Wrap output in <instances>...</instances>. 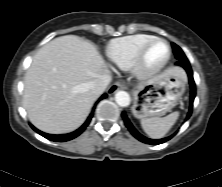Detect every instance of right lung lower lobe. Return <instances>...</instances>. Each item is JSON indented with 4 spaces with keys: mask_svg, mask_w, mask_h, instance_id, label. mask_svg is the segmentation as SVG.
<instances>
[{
    "mask_svg": "<svg viewBox=\"0 0 222 187\" xmlns=\"http://www.w3.org/2000/svg\"><path fill=\"white\" fill-rule=\"evenodd\" d=\"M107 97V94H103L99 100L96 102V104ZM94 109L95 107L93 108L92 110V113L89 115L88 119L86 120V122L79 128L77 129L76 131L72 132V133H69V134H63V135H52V134H47V133H44V132H41L39 131L38 129H36L33 125H31V127L37 132L39 133L40 135H42L43 137L51 140V141H56V142H64V141H68V140H71V139H74L75 137H77L78 135H80L84 130L85 128L88 126V124L90 123L91 121V118L93 117V112H94Z\"/></svg>",
    "mask_w": 222,
    "mask_h": 187,
    "instance_id": "right-lung-lower-lobe-1",
    "label": "right lung lower lobe"
}]
</instances>
